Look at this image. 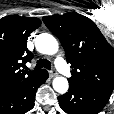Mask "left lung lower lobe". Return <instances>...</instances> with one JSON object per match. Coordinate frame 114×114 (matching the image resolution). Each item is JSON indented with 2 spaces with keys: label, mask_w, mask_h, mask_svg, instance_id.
<instances>
[{
  "label": "left lung lower lobe",
  "mask_w": 114,
  "mask_h": 114,
  "mask_svg": "<svg viewBox=\"0 0 114 114\" xmlns=\"http://www.w3.org/2000/svg\"><path fill=\"white\" fill-rule=\"evenodd\" d=\"M111 94L94 88L70 83L66 94L58 96L60 107L69 114H98Z\"/></svg>",
  "instance_id": "0a47b994"
}]
</instances>
